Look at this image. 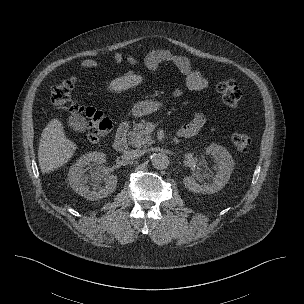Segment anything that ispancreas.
I'll use <instances>...</instances> for the list:
<instances>
[{
	"label": "pancreas",
	"instance_id": "1",
	"mask_svg": "<svg viewBox=\"0 0 304 304\" xmlns=\"http://www.w3.org/2000/svg\"><path fill=\"white\" fill-rule=\"evenodd\" d=\"M128 137L129 144L136 148L146 147L153 142L151 134L146 129L144 121L137 123L133 130L128 133Z\"/></svg>",
	"mask_w": 304,
	"mask_h": 304
}]
</instances>
